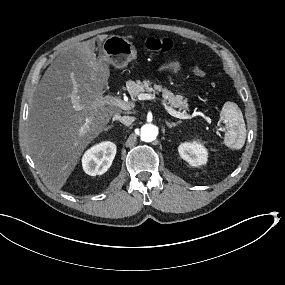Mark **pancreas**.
Here are the masks:
<instances>
[{
	"label": "pancreas",
	"instance_id": "1",
	"mask_svg": "<svg viewBox=\"0 0 285 285\" xmlns=\"http://www.w3.org/2000/svg\"><path fill=\"white\" fill-rule=\"evenodd\" d=\"M125 88L130 97H133L134 95H139L146 90L153 89L156 93L167 96V99L172 107L178 108L180 111L189 110L187 98H184L181 95H174L172 92L168 91L167 89H164L159 85H156L154 82L143 81L141 79L132 82L128 81L125 85Z\"/></svg>",
	"mask_w": 285,
	"mask_h": 285
}]
</instances>
